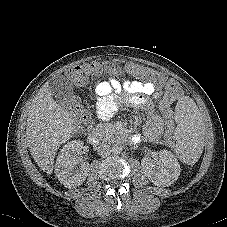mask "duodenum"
Here are the masks:
<instances>
[{
  "label": "duodenum",
  "instance_id": "1",
  "mask_svg": "<svg viewBox=\"0 0 227 227\" xmlns=\"http://www.w3.org/2000/svg\"><path fill=\"white\" fill-rule=\"evenodd\" d=\"M100 130L91 131L87 134V140L92 145H98L99 144V137H100Z\"/></svg>",
  "mask_w": 227,
  "mask_h": 227
}]
</instances>
